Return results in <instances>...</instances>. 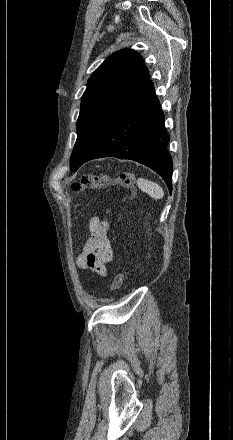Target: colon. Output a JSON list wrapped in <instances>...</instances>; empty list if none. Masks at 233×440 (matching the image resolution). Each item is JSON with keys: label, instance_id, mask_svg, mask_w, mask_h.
I'll return each instance as SVG.
<instances>
[{"label": "colon", "instance_id": "1", "mask_svg": "<svg viewBox=\"0 0 233 440\" xmlns=\"http://www.w3.org/2000/svg\"><path fill=\"white\" fill-rule=\"evenodd\" d=\"M114 185H120L131 189V199H134L136 197L134 180L131 175L124 172L119 173L115 176L101 174L96 176L83 177L81 180L72 184V190L74 192H81L84 190L105 188ZM122 215L123 214H120V220L122 219ZM124 278L125 273L123 271L117 272L111 283L110 290L113 292L119 290L123 285Z\"/></svg>", "mask_w": 233, "mask_h": 440}]
</instances>
